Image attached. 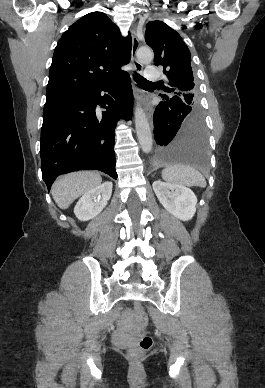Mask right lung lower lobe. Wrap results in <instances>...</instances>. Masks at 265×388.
I'll use <instances>...</instances> for the list:
<instances>
[{
    "label": "right lung lower lobe",
    "mask_w": 265,
    "mask_h": 388,
    "mask_svg": "<svg viewBox=\"0 0 265 388\" xmlns=\"http://www.w3.org/2000/svg\"><path fill=\"white\" fill-rule=\"evenodd\" d=\"M97 105L106 111L96 114ZM132 110L127 72L108 84L45 104L40 155L48 190L57 176L75 170H100L117 179L114 130L120 117L131 119Z\"/></svg>",
    "instance_id": "1"
}]
</instances>
